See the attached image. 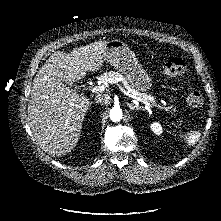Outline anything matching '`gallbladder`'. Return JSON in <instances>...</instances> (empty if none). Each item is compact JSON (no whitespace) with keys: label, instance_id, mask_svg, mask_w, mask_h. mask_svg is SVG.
<instances>
[{"label":"gallbladder","instance_id":"gallbladder-1","mask_svg":"<svg viewBox=\"0 0 221 221\" xmlns=\"http://www.w3.org/2000/svg\"><path fill=\"white\" fill-rule=\"evenodd\" d=\"M65 83L68 84V85L70 84L69 82H65Z\"/></svg>","mask_w":221,"mask_h":221}]
</instances>
